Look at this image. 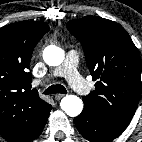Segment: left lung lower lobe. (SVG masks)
<instances>
[{"mask_svg": "<svg viewBox=\"0 0 142 142\" xmlns=\"http://www.w3.org/2000/svg\"><path fill=\"white\" fill-rule=\"evenodd\" d=\"M74 123L80 134L90 142H110L126 129L114 125L85 104L82 113L74 118Z\"/></svg>", "mask_w": 142, "mask_h": 142, "instance_id": "0a47b994", "label": "left lung lower lobe"}]
</instances>
